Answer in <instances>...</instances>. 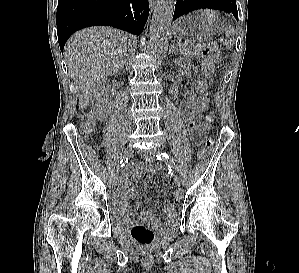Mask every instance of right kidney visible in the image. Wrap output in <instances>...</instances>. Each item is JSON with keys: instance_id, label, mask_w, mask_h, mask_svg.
Masks as SVG:
<instances>
[{"instance_id": "ca27d5eb", "label": "right kidney", "mask_w": 299, "mask_h": 273, "mask_svg": "<svg viewBox=\"0 0 299 273\" xmlns=\"http://www.w3.org/2000/svg\"><path fill=\"white\" fill-rule=\"evenodd\" d=\"M106 85L107 81L102 79L100 83L97 84L93 95L92 106L97 111L99 119L104 118L105 110L112 103L106 94Z\"/></svg>"}]
</instances>
